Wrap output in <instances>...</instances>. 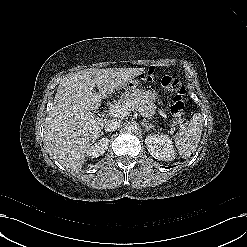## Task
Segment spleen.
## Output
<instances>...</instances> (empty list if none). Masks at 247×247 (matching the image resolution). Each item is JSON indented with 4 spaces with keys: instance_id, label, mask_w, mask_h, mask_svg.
Returning <instances> with one entry per match:
<instances>
[{
    "instance_id": "3e777b00",
    "label": "spleen",
    "mask_w": 247,
    "mask_h": 247,
    "mask_svg": "<svg viewBox=\"0 0 247 247\" xmlns=\"http://www.w3.org/2000/svg\"><path fill=\"white\" fill-rule=\"evenodd\" d=\"M203 119L200 113H195L185 131L175 135V143L182 158H188L196 151L201 139Z\"/></svg>"
}]
</instances>
